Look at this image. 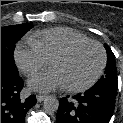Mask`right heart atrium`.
<instances>
[{
    "label": "right heart atrium",
    "instance_id": "right-heart-atrium-1",
    "mask_svg": "<svg viewBox=\"0 0 123 123\" xmlns=\"http://www.w3.org/2000/svg\"><path fill=\"white\" fill-rule=\"evenodd\" d=\"M14 59L18 69L25 76L34 75L48 63V59L30 41L18 43Z\"/></svg>",
    "mask_w": 123,
    "mask_h": 123
}]
</instances>
